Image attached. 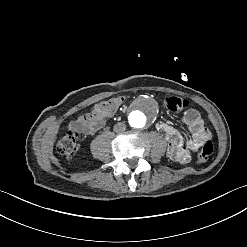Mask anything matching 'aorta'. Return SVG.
<instances>
[{"mask_svg":"<svg viewBox=\"0 0 247 247\" xmlns=\"http://www.w3.org/2000/svg\"><path fill=\"white\" fill-rule=\"evenodd\" d=\"M146 117L141 112L137 111L130 117V124L136 128H142L145 126Z\"/></svg>","mask_w":247,"mask_h":247,"instance_id":"obj_1","label":"aorta"}]
</instances>
